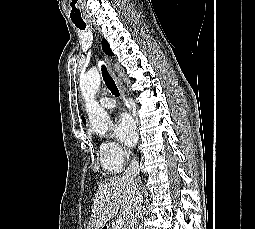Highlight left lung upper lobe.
<instances>
[{
	"label": "left lung upper lobe",
	"mask_w": 255,
	"mask_h": 229,
	"mask_svg": "<svg viewBox=\"0 0 255 229\" xmlns=\"http://www.w3.org/2000/svg\"><path fill=\"white\" fill-rule=\"evenodd\" d=\"M102 48H103V51H104L107 55L113 56V53H112V51H111V49H110V46H109L108 42H107L105 39L102 40Z\"/></svg>",
	"instance_id": "5c2ea615"
}]
</instances>
